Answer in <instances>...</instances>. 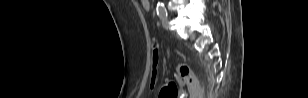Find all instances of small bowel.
I'll use <instances>...</instances> for the list:
<instances>
[{
    "instance_id": "c3829d8e",
    "label": "small bowel",
    "mask_w": 308,
    "mask_h": 98,
    "mask_svg": "<svg viewBox=\"0 0 308 98\" xmlns=\"http://www.w3.org/2000/svg\"><path fill=\"white\" fill-rule=\"evenodd\" d=\"M142 7L145 11L150 10V3L148 0H141Z\"/></svg>"
}]
</instances>
